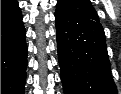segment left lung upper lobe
Wrapping results in <instances>:
<instances>
[{"instance_id":"1","label":"left lung upper lobe","mask_w":121,"mask_h":94,"mask_svg":"<svg viewBox=\"0 0 121 94\" xmlns=\"http://www.w3.org/2000/svg\"><path fill=\"white\" fill-rule=\"evenodd\" d=\"M58 3L73 14L99 21L97 13L89 0H58Z\"/></svg>"}]
</instances>
